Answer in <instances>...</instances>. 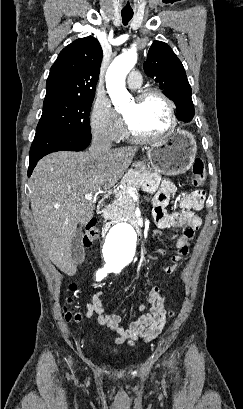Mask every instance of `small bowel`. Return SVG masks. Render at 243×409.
<instances>
[{
    "label": "small bowel",
    "mask_w": 243,
    "mask_h": 409,
    "mask_svg": "<svg viewBox=\"0 0 243 409\" xmlns=\"http://www.w3.org/2000/svg\"><path fill=\"white\" fill-rule=\"evenodd\" d=\"M147 189L155 192L152 200V216L156 226L160 230L170 228H183L182 232L176 236V248L172 256L161 265V271L169 275L173 282L174 274L181 261L187 256L191 241L195 232L201 227L202 220L195 211L203 207L205 193L196 190L191 193H184L179 197V211L168 212L167 206L170 197L176 193V186L168 180L161 181L158 177H153L147 184ZM160 234V232H157ZM158 254L166 257L164 250H159ZM146 302L150 305L147 312L146 304L131 306L121 312L139 311L144 312L128 326L123 325L120 315L107 313L103 292L93 295L91 302L86 306L85 316L91 317L93 313L97 315L98 322L114 330L118 336L114 342L117 344L128 343L133 346L139 340L150 342L162 331L164 316L166 313V296L161 293L158 286H153L145 296Z\"/></svg>",
    "instance_id": "1"
}]
</instances>
